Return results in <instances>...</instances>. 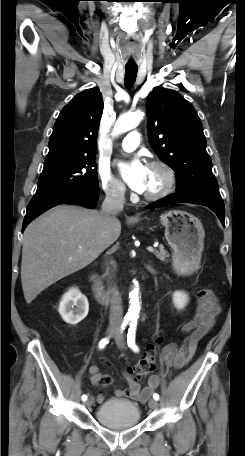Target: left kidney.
Returning a JSON list of instances; mask_svg holds the SVG:
<instances>
[{
	"instance_id": "1",
	"label": "left kidney",
	"mask_w": 245,
	"mask_h": 456,
	"mask_svg": "<svg viewBox=\"0 0 245 456\" xmlns=\"http://www.w3.org/2000/svg\"><path fill=\"white\" fill-rule=\"evenodd\" d=\"M173 304L177 309H183L188 303L189 297L185 292L176 291L173 293Z\"/></svg>"
}]
</instances>
